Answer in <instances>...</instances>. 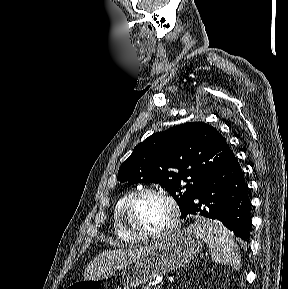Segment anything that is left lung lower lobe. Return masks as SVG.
<instances>
[{"label": "left lung lower lobe", "mask_w": 288, "mask_h": 289, "mask_svg": "<svg viewBox=\"0 0 288 289\" xmlns=\"http://www.w3.org/2000/svg\"><path fill=\"white\" fill-rule=\"evenodd\" d=\"M219 220L238 238L247 241L250 231V202L241 167L229 149L197 195L181 214Z\"/></svg>", "instance_id": "left-lung-lower-lobe-1"}]
</instances>
